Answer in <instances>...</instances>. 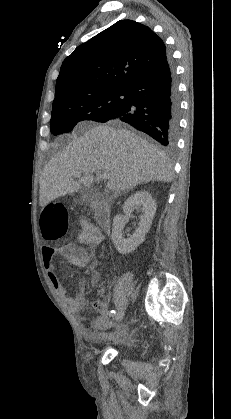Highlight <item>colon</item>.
<instances>
[{"mask_svg": "<svg viewBox=\"0 0 231 419\" xmlns=\"http://www.w3.org/2000/svg\"><path fill=\"white\" fill-rule=\"evenodd\" d=\"M42 225L46 233L55 238L67 229V210L61 204L46 207L42 214Z\"/></svg>", "mask_w": 231, "mask_h": 419, "instance_id": "1", "label": "colon"}]
</instances>
